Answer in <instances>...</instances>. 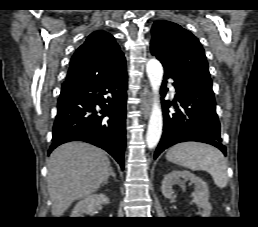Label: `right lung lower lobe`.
I'll use <instances>...</instances> for the list:
<instances>
[{"mask_svg":"<svg viewBox=\"0 0 258 227\" xmlns=\"http://www.w3.org/2000/svg\"><path fill=\"white\" fill-rule=\"evenodd\" d=\"M126 65L94 76L66 80L57 104L49 153L69 141L106 150L124 168L127 100ZM99 105L100 111L95 107Z\"/></svg>","mask_w":258,"mask_h":227,"instance_id":"right-lung-lower-lobe-1","label":"right lung lower lobe"}]
</instances>
